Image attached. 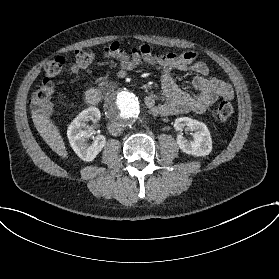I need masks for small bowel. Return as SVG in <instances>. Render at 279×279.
Segmentation results:
<instances>
[{"instance_id": "c3829d8e", "label": "small bowel", "mask_w": 279, "mask_h": 279, "mask_svg": "<svg viewBox=\"0 0 279 279\" xmlns=\"http://www.w3.org/2000/svg\"><path fill=\"white\" fill-rule=\"evenodd\" d=\"M104 54L117 61L125 71H131L145 63L155 66L160 71V81L164 102L154 97H147L145 105L156 116H170L188 111L204 112L218 98L230 99L233 96L231 85L215 77H208V65L197 60V53L187 51L183 53H157L149 45L134 47L130 52L114 42L104 49ZM172 70H190L196 74L192 80L196 93L181 89L174 81Z\"/></svg>"}]
</instances>
